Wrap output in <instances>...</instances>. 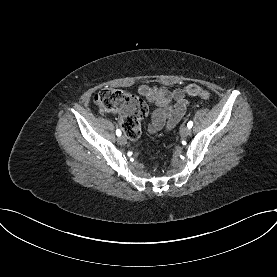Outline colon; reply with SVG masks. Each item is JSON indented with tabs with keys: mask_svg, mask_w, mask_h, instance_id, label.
Here are the masks:
<instances>
[{
	"mask_svg": "<svg viewBox=\"0 0 277 277\" xmlns=\"http://www.w3.org/2000/svg\"><path fill=\"white\" fill-rule=\"evenodd\" d=\"M185 92L202 99L208 97V92L196 84L186 86ZM93 100L103 113H120L123 130L130 138H138L140 122L148 112L146 104L141 99L123 90L107 87L97 91Z\"/></svg>",
	"mask_w": 277,
	"mask_h": 277,
	"instance_id": "1",
	"label": "colon"
}]
</instances>
